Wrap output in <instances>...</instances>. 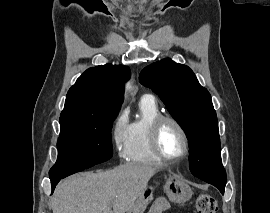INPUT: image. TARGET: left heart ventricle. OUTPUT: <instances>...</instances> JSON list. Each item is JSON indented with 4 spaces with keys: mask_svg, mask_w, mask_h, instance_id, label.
Returning <instances> with one entry per match:
<instances>
[{
    "mask_svg": "<svg viewBox=\"0 0 270 213\" xmlns=\"http://www.w3.org/2000/svg\"><path fill=\"white\" fill-rule=\"evenodd\" d=\"M162 152L172 158L179 157L184 151V140L179 130L172 124L166 123L159 137Z\"/></svg>",
    "mask_w": 270,
    "mask_h": 213,
    "instance_id": "left-heart-ventricle-1",
    "label": "left heart ventricle"
}]
</instances>
